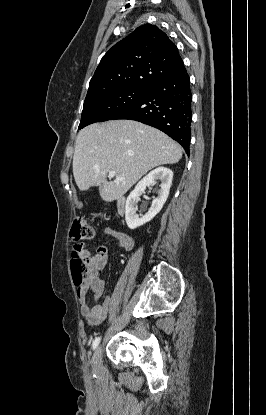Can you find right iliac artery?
Wrapping results in <instances>:
<instances>
[{
    "label": "right iliac artery",
    "mask_w": 266,
    "mask_h": 415,
    "mask_svg": "<svg viewBox=\"0 0 266 415\" xmlns=\"http://www.w3.org/2000/svg\"><path fill=\"white\" fill-rule=\"evenodd\" d=\"M100 340H101V337H97V338L93 341V343H92V348H93V350H95V349L97 348L98 344L100 343Z\"/></svg>",
    "instance_id": "obj_1"
}]
</instances>
